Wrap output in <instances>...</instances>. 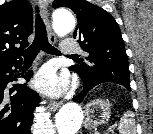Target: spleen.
<instances>
[{
	"label": "spleen",
	"instance_id": "3e777b00",
	"mask_svg": "<svg viewBox=\"0 0 153 134\" xmlns=\"http://www.w3.org/2000/svg\"><path fill=\"white\" fill-rule=\"evenodd\" d=\"M119 134H135L134 113L130 110L126 111L122 116L119 126Z\"/></svg>",
	"mask_w": 153,
	"mask_h": 134
}]
</instances>
